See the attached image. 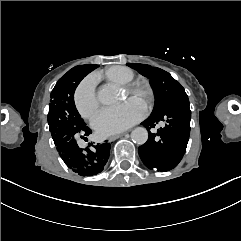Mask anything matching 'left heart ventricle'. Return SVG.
<instances>
[{"label": "left heart ventricle", "instance_id": "b2bd125f", "mask_svg": "<svg viewBox=\"0 0 241 241\" xmlns=\"http://www.w3.org/2000/svg\"><path fill=\"white\" fill-rule=\"evenodd\" d=\"M134 99L140 101L144 106H148L152 100V91L145 81H140L133 91Z\"/></svg>", "mask_w": 241, "mask_h": 241}]
</instances>
